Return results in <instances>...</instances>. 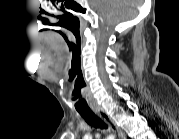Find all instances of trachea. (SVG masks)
Segmentation results:
<instances>
[{
  "label": "trachea",
  "instance_id": "obj_1",
  "mask_svg": "<svg viewBox=\"0 0 179 139\" xmlns=\"http://www.w3.org/2000/svg\"><path fill=\"white\" fill-rule=\"evenodd\" d=\"M84 120L92 127L107 129L108 125L92 111L79 112Z\"/></svg>",
  "mask_w": 179,
  "mask_h": 139
}]
</instances>
